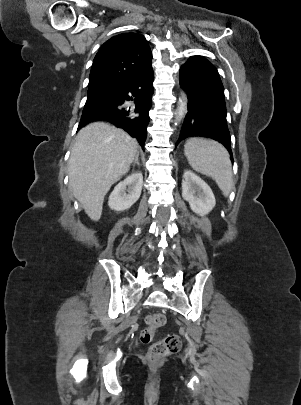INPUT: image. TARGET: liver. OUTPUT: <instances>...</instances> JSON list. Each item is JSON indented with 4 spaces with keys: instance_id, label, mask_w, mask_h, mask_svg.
<instances>
[{
    "instance_id": "6515ba94",
    "label": "liver",
    "mask_w": 301,
    "mask_h": 405,
    "mask_svg": "<svg viewBox=\"0 0 301 405\" xmlns=\"http://www.w3.org/2000/svg\"><path fill=\"white\" fill-rule=\"evenodd\" d=\"M137 146L136 139L104 122L78 132L69 159V183L92 220L100 219L105 195L129 171Z\"/></svg>"
}]
</instances>
